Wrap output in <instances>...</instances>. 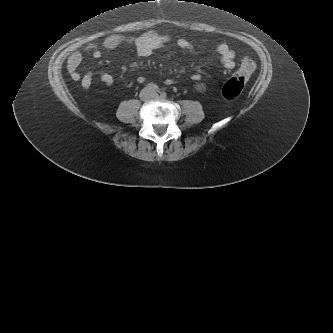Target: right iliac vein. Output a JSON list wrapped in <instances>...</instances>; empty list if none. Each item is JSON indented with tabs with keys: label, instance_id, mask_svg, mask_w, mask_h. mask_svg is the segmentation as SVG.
Listing matches in <instances>:
<instances>
[{
	"label": "right iliac vein",
	"instance_id": "right-iliac-vein-1",
	"mask_svg": "<svg viewBox=\"0 0 333 333\" xmlns=\"http://www.w3.org/2000/svg\"><path fill=\"white\" fill-rule=\"evenodd\" d=\"M142 99L148 100L150 97H152V94L150 91L146 90L141 94Z\"/></svg>",
	"mask_w": 333,
	"mask_h": 333
}]
</instances>
